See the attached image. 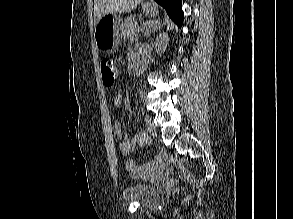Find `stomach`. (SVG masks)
<instances>
[{"instance_id":"0dacf381","label":"stomach","mask_w":293,"mask_h":219,"mask_svg":"<svg viewBox=\"0 0 293 219\" xmlns=\"http://www.w3.org/2000/svg\"><path fill=\"white\" fill-rule=\"evenodd\" d=\"M142 8L148 16L158 15L157 6L154 3H144ZM122 36V21L116 14L103 16L95 25L94 40L96 46L101 50L112 51L119 45Z\"/></svg>"}]
</instances>
